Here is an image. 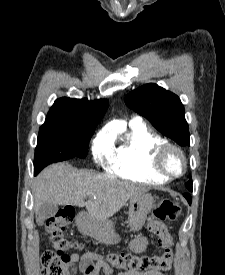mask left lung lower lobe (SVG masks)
Listing matches in <instances>:
<instances>
[{
  "label": "left lung lower lobe",
  "mask_w": 225,
  "mask_h": 275,
  "mask_svg": "<svg viewBox=\"0 0 225 275\" xmlns=\"http://www.w3.org/2000/svg\"><path fill=\"white\" fill-rule=\"evenodd\" d=\"M184 197L187 199L189 204H191V196L189 194H184Z\"/></svg>",
  "instance_id": "1"
}]
</instances>
